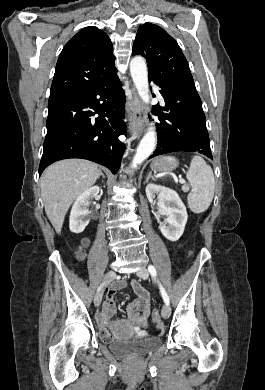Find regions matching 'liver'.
<instances>
[{"mask_svg": "<svg viewBox=\"0 0 265 390\" xmlns=\"http://www.w3.org/2000/svg\"><path fill=\"white\" fill-rule=\"evenodd\" d=\"M98 178L97 164L82 159L61 160L43 172L41 196L46 215L58 234L72 202L91 188Z\"/></svg>", "mask_w": 265, "mask_h": 390, "instance_id": "liver-1", "label": "liver"}]
</instances>
